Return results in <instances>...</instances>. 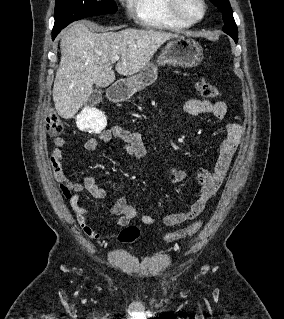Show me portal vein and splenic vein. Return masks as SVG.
Segmentation results:
<instances>
[{
    "instance_id": "18ae733b",
    "label": "portal vein and splenic vein",
    "mask_w": 284,
    "mask_h": 319,
    "mask_svg": "<svg viewBox=\"0 0 284 319\" xmlns=\"http://www.w3.org/2000/svg\"><path fill=\"white\" fill-rule=\"evenodd\" d=\"M118 60H119V57H118V56L113 57V58L111 59L112 62H115V61H118Z\"/></svg>"
}]
</instances>
